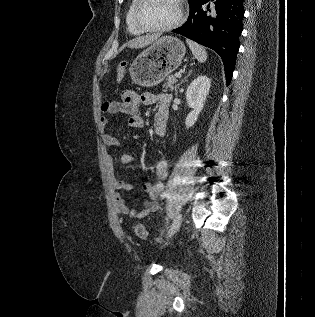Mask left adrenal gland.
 Masks as SVG:
<instances>
[{
    "instance_id": "left-adrenal-gland-1",
    "label": "left adrenal gland",
    "mask_w": 315,
    "mask_h": 317,
    "mask_svg": "<svg viewBox=\"0 0 315 317\" xmlns=\"http://www.w3.org/2000/svg\"><path fill=\"white\" fill-rule=\"evenodd\" d=\"M191 71L189 72V74L181 81V83H183L184 81H186V79L190 76Z\"/></svg>"
}]
</instances>
